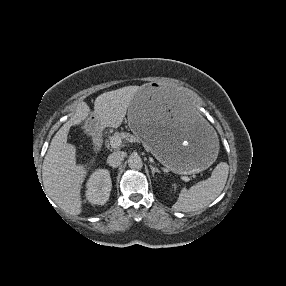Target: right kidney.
Listing matches in <instances>:
<instances>
[{"instance_id": "obj_1", "label": "right kidney", "mask_w": 286, "mask_h": 286, "mask_svg": "<svg viewBox=\"0 0 286 286\" xmlns=\"http://www.w3.org/2000/svg\"><path fill=\"white\" fill-rule=\"evenodd\" d=\"M112 181L106 169L96 170L87 182L86 198L92 204L103 205L110 196Z\"/></svg>"}]
</instances>
